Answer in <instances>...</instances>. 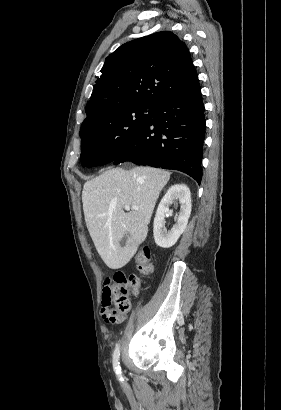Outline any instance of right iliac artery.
<instances>
[{
    "label": "right iliac artery",
    "instance_id": "1",
    "mask_svg": "<svg viewBox=\"0 0 281 410\" xmlns=\"http://www.w3.org/2000/svg\"><path fill=\"white\" fill-rule=\"evenodd\" d=\"M119 357H120V346L117 345L114 351V355H113V367L114 370L116 372V374L118 375V378L120 380H122V375H121V368H120V363H119Z\"/></svg>",
    "mask_w": 281,
    "mask_h": 410
}]
</instances>
